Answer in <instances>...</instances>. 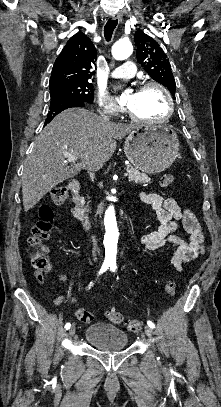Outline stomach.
Segmentation results:
<instances>
[{"instance_id": "obj_1", "label": "stomach", "mask_w": 221, "mask_h": 407, "mask_svg": "<svg viewBox=\"0 0 221 407\" xmlns=\"http://www.w3.org/2000/svg\"><path fill=\"white\" fill-rule=\"evenodd\" d=\"M124 151L137 169L157 174L175 161L179 140L176 132L169 126H137L126 138Z\"/></svg>"}]
</instances>
